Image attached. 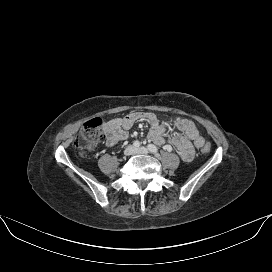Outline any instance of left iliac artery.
I'll return each mask as SVG.
<instances>
[{"label": "left iliac artery", "mask_w": 272, "mask_h": 272, "mask_svg": "<svg viewBox=\"0 0 272 272\" xmlns=\"http://www.w3.org/2000/svg\"><path fill=\"white\" fill-rule=\"evenodd\" d=\"M147 147H148L149 151H151L152 153H155V154L158 153V149L155 145L149 144Z\"/></svg>", "instance_id": "obj_1"}]
</instances>
